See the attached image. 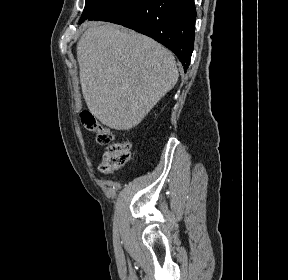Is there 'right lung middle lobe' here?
I'll return each instance as SVG.
<instances>
[{"label": "right lung middle lobe", "mask_w": 288, "mask_h": 280, "mask_svg": "<svg viewBox=\"0 0 288 280\" xmlns=\"http://www.w3.org/2000/svg\"><path fill=\"white\" fill-rule=\"evenodd\" d=\"M113 0H86L83 14L80 18V22L86 20L92 14H94L99 8L108 4Z\"/></svg>", "instance_id": "dd1d6c3e"}]
</instances>
